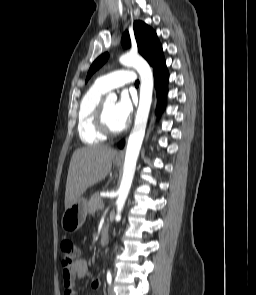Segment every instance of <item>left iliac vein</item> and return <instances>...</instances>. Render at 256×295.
I'll use <instances>...</instances> for the list:
<instances>
[{
	"instance_id": "1",
	"label": "left iliac vein",
	"mask_w": 256,
	"mask_h": 295,
	"mask_svg": "<svg viewBox=\"0 0 256 295\" xmlns=\"http://www.w3.org/2000/svg\"><path fill=\"white\" fill-rule=\"evenodd\" d=\"M108 295H115V292H114L112 286H110L108 289Z\"/></svg>"
}]
</instances>
